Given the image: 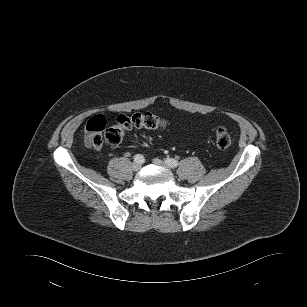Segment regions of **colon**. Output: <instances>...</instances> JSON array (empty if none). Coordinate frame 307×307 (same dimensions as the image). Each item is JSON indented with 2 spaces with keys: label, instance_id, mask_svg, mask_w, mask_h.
Here are the masks:
<instances>
[{
  "label": "colon",
  "instance_id": "obj_1",
  "mask_svg": "<svg viewBox=\"0 0 307 307\" xmlns=\"http://www.w3.org/2000/svg\"><path fill=\"white\" fill-rule=\"evenodd\" d=\"M166 125L165 120L157 115L145 112L133 115H120L114 125L106 129V120L97 115L90 118L85 126L86 143L94 148H99L105 141L109 145L121 143L125 134L136 129H162ZM215 142L218 148L227 149L232 145V138L225 128H218L215 133Z\"/></svg>",
  "mask_w": 307,
  "mask_h": 307
}]
</instances>
